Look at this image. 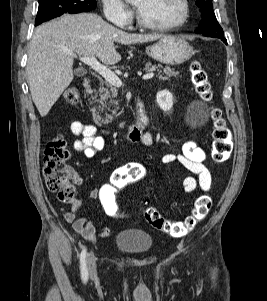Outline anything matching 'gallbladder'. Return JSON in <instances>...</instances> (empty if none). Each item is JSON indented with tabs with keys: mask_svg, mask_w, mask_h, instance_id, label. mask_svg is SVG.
Here are the masks:
<instances>
[{
	"mask_svg": "<svg viewBox=\"0 0 267 301\" xmlns=\"http://www.w3.org/2000/svg\"><path fill=\"white\" fill-rule=\"evenodd\" d=\"M86 74V71L83 69H76L75 70V75H77L78 77H82Z\"/></svg>",
	"mask_w": 267,
	"mask_h": 301,
	"instance_id": "gallbladder-1",
	"label": "gallbladder"
}]
</instances>
